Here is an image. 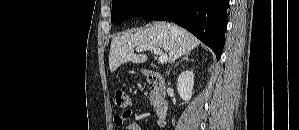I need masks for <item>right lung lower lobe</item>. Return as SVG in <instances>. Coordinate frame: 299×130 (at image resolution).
<instances>
[{"instance_id":"98d812e1","label":"right lung lower lobe","mask_w":299,"mask_h":130,"mask_svg":"<svg viewBox=\"0 0 299 130\" xmlns=\"http://www.w3.org/2000/svg\"><path fill=\"white\" fill-rule=\"evenodd\" d=\"M229 0H157L142 18L169 20L184 27L220 58L224 46Z\"/></svg>"}]
</instances>
